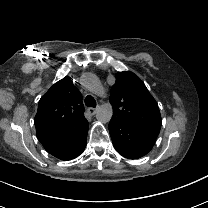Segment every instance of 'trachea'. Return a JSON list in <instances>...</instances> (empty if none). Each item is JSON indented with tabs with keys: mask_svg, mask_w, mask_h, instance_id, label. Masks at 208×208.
Masks as SVG:
<instances>
[{
	"mask_svg": "<svg viewBox=\"0 0 208 208\" xmlns=\"http://www.w3.org/2000/svg\"><path fill=\"white\" fill-rule=\"evenodd\" d=\"M85 105L88 107L94 108V107H96L97 103H96V100L91 95H88L85 98Z\"/></svg>",
	"mask_w": 208,
	"mask_h": 208,
	"instance_id": "1",
	"label": "trachea"
}]
</instances>
